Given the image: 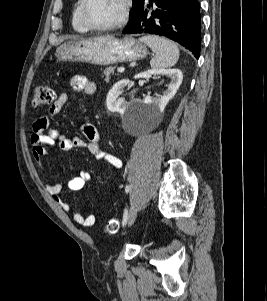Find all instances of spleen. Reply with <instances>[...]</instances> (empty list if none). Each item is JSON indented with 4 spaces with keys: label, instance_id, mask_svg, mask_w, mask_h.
Instances as JSON below:
<instances>
[{
    "label": "spleen",
    "instance_id": "obj_1",
    "mask_svg": "<svg viewBox=\"0 0 267 301\" xmlns=\"http://www.w3.org/2000/svg\"><path fill=\"white\" fill-rule=\"evenodd\" d=\"M140 41L148 45L155 54L150 61L153 69L169 68L177 63L179 49L172 41L153 35L141 37Z\"/></svg>",
    "mask_w": 267,
    "mask_h": 301
}]
</instances>
